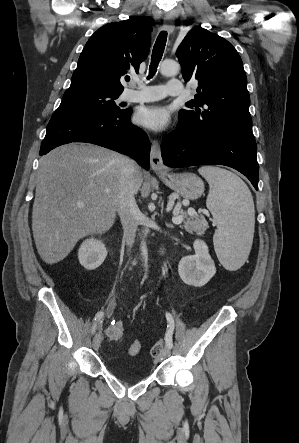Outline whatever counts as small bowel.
I'll return each instance as SVG.
<instances>
[{
	"instance_id": "small-bowel-1",
	"label": "small bowel",
	"mask_w": 299,
	"mask_h": 443,
	"mask_svg": "<svg viewBox=\"0 0 299 443\" xmlns=\"http://www.w3.org/2000/svg\"><path fill=\"white\" fill-rule=\"evenodd\" d=\"M114 308H115V302L111 301L105 310V316L107 319L111 318Z\"/></svg>"
}]
</instances>
